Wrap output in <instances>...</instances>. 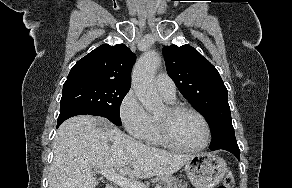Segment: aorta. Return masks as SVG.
<instances>
[{
  "label": "aorta",
  "mask_w": 292,
  "mask_h": 188,
  "mask_svg": "<svg viewBox=\"0 0 292 188\" xmlns=\"http://www.w3.org/2000/svg\"><path fill=\"white\" fill-rule=\"evenodd\" d=\"M160 61V55L155 50L147 51L136 62L132 73L133 89L145 109L151 113L163 107L154 83L155 71Z\"/></svg>",
  "instance_id": "aorta-1"
}]
</instances>
